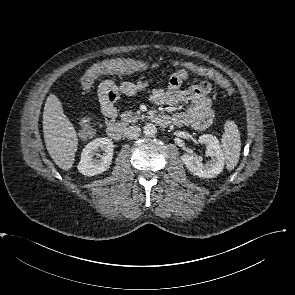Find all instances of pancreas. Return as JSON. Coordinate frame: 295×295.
Instances as JSON below:
<instances>
[{
	"mask_svg": "<svg viewBox=\"0 0 295 295\" xmlns=\"http://www.w3.org/2000/svg\"><path fill=\"white\" fill-rule=\"evenodd\" d=\"M139 119H141V116H140V115H137V114H133L132 111H125V112L121 115V120H122L125 124L136 123Z\"/></svg>",
	"mask_w": 295,
	"mask_h": 295,
	"instance_id": "pancreas-1",
	"label": "pancreas"
}]
</instances>
